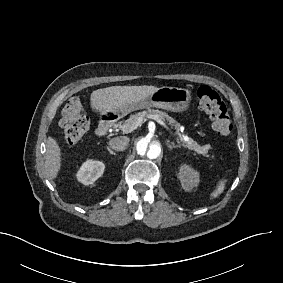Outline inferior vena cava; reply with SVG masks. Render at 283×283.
Segmentation results:
<instances>
[{"mask_svg": "<svg viewBox=\"0 0 283 283\" xmlns=\"http://www.w3.org/2000/svg\"><path fill=\"white\" fill-rule=\"evenodd\" d=\"M129 143V138L125 136L115 137L109 141V146L115 151H123Z\"/></svg>", "mask_w": 283, "mask_h": 283, "instance_id": "inferior-vena-cava-1", "label": "inferior vena cava"}]
</instances>
